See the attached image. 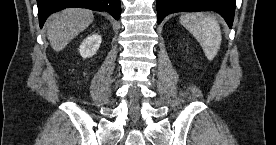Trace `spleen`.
Wrapping results in <instances>:
<instances>
[{"label": "spleen", "instance_id": "3e777b00", "mask_svg": "<svg viewBox=\"0 0 276 145\" xmlns=\"http://www.w3.org/2000/svg\"><path fill=\"white\" fill-rule=\"evenodd\" d=\"M180 22L200 43L207 59L213 60L222 40L217 20L203 13H188L180 17Z\"/></svg>", "mask_w": 276, "mask_h": 145}]
</instances>
